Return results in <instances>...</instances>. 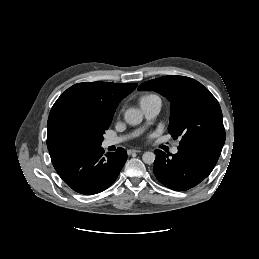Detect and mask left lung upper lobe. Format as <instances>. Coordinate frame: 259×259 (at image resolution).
Returning <instances> with one entry per match:
<instances>
[{
	"label": "left lung upper lobe",
	"instance_id": "1",
	"mask_svg": "<svg viewBox=\"0 0 259 259\" xmlns=\"http://www.w3.org/2000/svg\"><path fill=\"white\" fill-rule=\"evenodd\" d=\"M138 90L156 91L170 101L168 132L178 147L197 143L223 146L225 129L216 98L198 81L185 76H165L142 83Z\"/></svg>",
	"mask_w": 259,
	"mask_h": 259
}]
</instances>
